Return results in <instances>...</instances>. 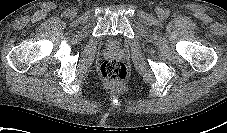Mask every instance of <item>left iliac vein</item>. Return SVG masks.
<instances>
[{"instance_id":"left-iliac-vein-1","label":"left iliac vein","mask_w":227,"mask_h":133,"mask_svg":"<svg viewBox=\"0 0 227 133\" xmlns=\"http://www.w3.org/2000/svg\"><path fill=\"white\" fill-rule=\"evenodd\" d=\"M157 12H158L159 15H163V10L162 9H160V8L157 9Z\"/></svg>"}]
</instances>
